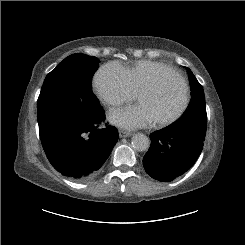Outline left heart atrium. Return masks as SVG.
<instances>
[{"label": "left heart atrium", "mask_w": 245, "mask_h": 245, "mask_svg": "<svg viewBox=\"0 0 245 245\" xmlns=\"http://www.w3.org/2000/svg\"><path fill=\"white\" fill-rule=\"evenodd\" d=\"M109 120L112 124L124 130L145 128L154 123L149 110L142 104L112 111L109 114Z\"/></svg>", "instance_id": "1"}]
</instances>
